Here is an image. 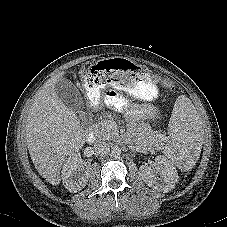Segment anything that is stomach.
<instances>
[{
    "instance_id": "0dacf381",
    "label": "stomach",
    "mask_w": 227,
    "mask_h": 227,
    "mask_svg": "<svg viewBox=\"0 0 227 227\" xmlns=\"http://www.w3.org/2000/svg\"><path fill=\"white\" fill-rule=\"evenodd\" d=\"M83 84L91 105L97 103L100 89L106 86H120L138 99L152 100L157 95V88L146 73L126 56L98 58L88 68Z\"/></svg>"
}]
</instances>
